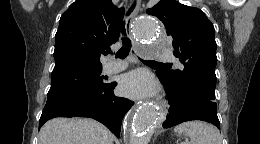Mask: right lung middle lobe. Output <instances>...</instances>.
<instances>
[{
	"mask_svg": "<svg viewBox=\"0 0 260 144\" xmlns=\"http://www.w3.org/2000/svg\"><path fill=\"white\" fill-rule=\"evenodd\" d=\"M102 66L74 65L53 70L51 88L48 93L68 90H97L105 87L101 76Z\"/></svg>",
	"mask_w": 260,
	"mask_h": 144,
	"instance_id": "1",
	"label": "right lung middle lobe"
}]
</instances>
